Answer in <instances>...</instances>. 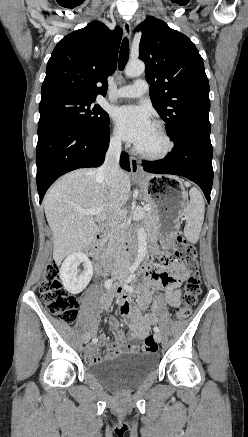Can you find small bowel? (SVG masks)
I'll use <instances>...</instances> for the list:
<instances>
[{
  "label": "small bowel",
  "mask_w": 248,
  "mask_h": 437,
  "mask_svg": "<svg viewBox=\"0 0 248 437\" xmlns=\"http://www.w3.org/2000/svg\"><path fill=\"white\" fill-rule=\"evenodd\" d=\"M162 262V268H149L144 271L141 276V283L144 286L151 287V291H143L138 298V308H130V299L123 294V291L118 286H113L109 291L104 293L100 299V306L104 310H108L115 298L120 299V309L129 319L131 331V340L127 341L125 334L120 328L116 319L110 320V328L115 336V342L107 344L106 337H99V346L104 349L103 354L98 353V349L94 344H90L86 349V358L91 363H98L109 360L126 351H136L138 344L136 341L144 339L150 332L152 325L157 323L158 311L165 305L170 307H178L182 298V282L188 275V270L182 264L171 262L168 253L158 251L157 255ZM165 291L166 300L158 297L153 302L154 293ZM151 304L154 306V311L142 315L141 311L146 310Z\"/></svg>",
  "instance_id": "1"
}]
</instances>
